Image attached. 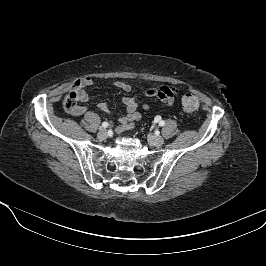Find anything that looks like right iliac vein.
<instances>
[{"instance_id":"1","label":"right iliac vein","mask_w":266,"mask_h":266,"mask_svg":"<svg viewBox=\"0 0 266 266\" xmlns=\"http://www.w3.org/2000/svg\"><path fill=\"white\" fill-rule=\"evenodd\" d=\"M107 136H108V134H107V130L106 129H100L98 134H97V137L100 140H105L107 138Z\"/></svg>"}]
</instances>
